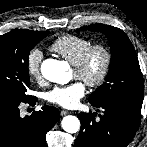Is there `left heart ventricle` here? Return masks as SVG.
Returning <instances> with one entry per match:
<instances>
[{"instance_id": "obj_1", "label": "left heart ventricle", "mask_w": 147, "mask_h": 147, "mask_svg": "<svg viewBox=\"0 0 147 147\" xmlns=\"http://www.w3.org/2000/svg\"><path fill=\"white\" fill-rule=\"evenodd\" d=\"M102 64H103V57L100 53H98L93 57L89 67L87 68V70L84 74V77L85 78L96 77L102 68ZM73 77L78 78L75 71H73ZM78 79H80V78H78Z\"/></svg>"}]
</instances>
